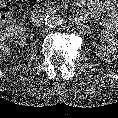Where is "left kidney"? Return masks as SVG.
<instances>
[{"label": "left kidney", "mask_w": 118, "mask_h": 118, "mask_svg": "<svg viewBox=\"0 0 118 118\" xmlns=\"http://www.w3.org/2000/svg\"><path fill=\"white\" fill-rule=\"evenodd\" d=\"M100 36L108 43V48L105 52L97 51V57L106 61L118 59V38L107 30H101Z\"/></svg>", "instance_id": "obj_1"}]
</instances>
